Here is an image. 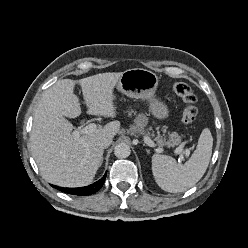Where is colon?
Instances as JSON below:
<instances>
[{
    "label": "colon",
    "mask_w": 248,
    "mask_h": 248,
    "mask_svg": "<svg viewBox=\"0 0 248 248\" xmlns=\"http://www.w3.org/2000/svg\"><path fill=\"white\" fill-rule=\"evenodd\" d=\"M174 92L181 98L185 106L182 113V122L186 125L192 124L197 117V98L191 87L184 82H177L173 86Z\"/></svg>",
    "instance_id": "5ec220e1"
}]
</instances>
